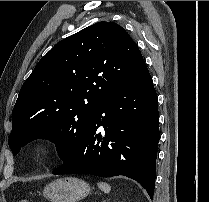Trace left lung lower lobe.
<instances>
[{"mask_svg": "<svg viewBox=\"0 0 209 202\" xmlns=\"http://www.w3.org/2000/svg\"><path fill=\"white\" fill-rule=\"evenodd\" d=\"M157 101L144 66L96 105L83 139L53 174L123 175L140 183L152 199L160 138Z\"/></svg>", "mask_w": 209, "mask_h": 202, "instance_id": "0a47b994", "label": "left lung lower lobe"}]
</instances>
